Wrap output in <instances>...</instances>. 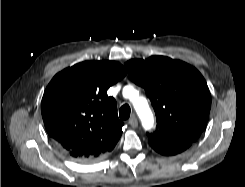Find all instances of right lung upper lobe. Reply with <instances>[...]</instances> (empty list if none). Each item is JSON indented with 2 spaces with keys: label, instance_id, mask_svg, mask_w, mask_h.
<instances>
[{
  "label": "right lung upper lobe",
  "instance_id": "cb5924a9",
  "mask_svg": "<svg viewBox=\"0 0 245 187\" xmlns=\"http://www.w3.org/2000/svg\"><path fill=\"white\" fill-rule=\"evenodd\" d=\"M126 75L114 61H85L54 76L42 98L45 128L71 157L97 160L110 153L122 134L117 104L107 95Z\"/></svg>",
  "mask_w": 245,
  "mask_h": 187
}]
</instances>
